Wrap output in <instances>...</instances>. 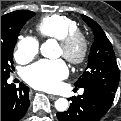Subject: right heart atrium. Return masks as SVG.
<instances>
[{
    "instance_id": "1",
    "label": "right heart atrium",
    "mask_w": 121,
    "mask_h": 121,
    "mask_svg": "<svg viewBox=\"0 0 121 121\" xmlns=\"http://www.w3.org/2000/svg\"><path fill=\"white\" fill-rule=\"evenodd\" d=\"M39 51V42L36 38L31 36H25L19 39L14 56L19 62H29L32 60Z\"/></svg>"
}]
</instances>
